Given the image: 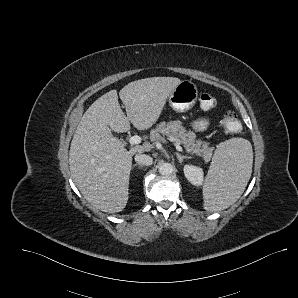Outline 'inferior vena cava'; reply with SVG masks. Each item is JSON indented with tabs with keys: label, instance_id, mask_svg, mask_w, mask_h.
I'll return each mask as SVG.
<instances>
[{
	"label": "inferior vena cava",
	"instance_id": "1",
	"mask_svg": "<svg viewBox=\"0 0 298 298\" xmlns=\"http://www.w3.org/2000/svg\"><path fill=\"white\" fill-rule=\"evenodd\" d=\"M135 161L137 163L150 166L153 163V158L147 154H137L135 155Z\"/></svg>",
	"mask_w": 298,
	"mask_h": 298
}]
</instances>
